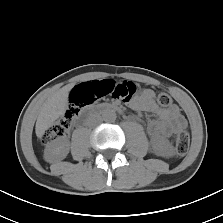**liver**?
Segmentation results:
<instances>
[{
	"mask_svg": "<svg viewBox=\"0 0 223 223\" xmlns=\"http://www.w3.org/2000/svg\"><path fill=\"white\" fill-rule=\"evenodd\" d=\"M73 85H66L54 93L43 104L36 121L35 132L38 138H42L45 131L53 126L68 106V96Z\"/></svg>",
	"mask_w": 223,
	"mask_h": 223,
	"instance_id": "liver-1",
	"label": "liver"
}]
</instances>
